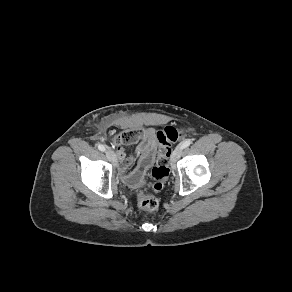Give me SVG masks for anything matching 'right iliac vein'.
<instances>
[{
  "instance_id": "63e3f726",
  "label": "right iliac vein",
  "mask_w": 292,
  "mask_h": 292,
  "mask_svg": "<svg viewBox=\"0 0 292 292\" xmlns=\"http://www.w3.org/2000/svg\"><path fill=\"white\" fill-rule=\"evenodd\" d=\"M106 156L113 164H116V155L111 149L106 150Z\"/></svg>"
}]
</instances>
